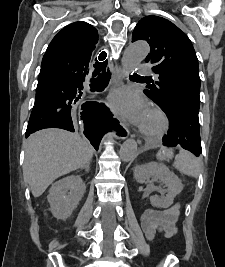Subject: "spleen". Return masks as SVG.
Segmentation results:
<instances>
[{"label": "spleen", "instance_id": "obj_1", "mask_svg": "<svg viewBox=\"0 0 225 267\" xmlns=\"http://www.w3.org/2000/svg\"><path fill=\"white\" fill-rule=\"evenodd\" d=\"M173 156V149L165 147H162L157 154V158L160 161H165ZM173 166L182 174L193 178H197L200 173V163L198 159L193 154L183 149L175 156Z\"/></svg>", "mask_w": 225, "mask_h": 267}]
</instances>
